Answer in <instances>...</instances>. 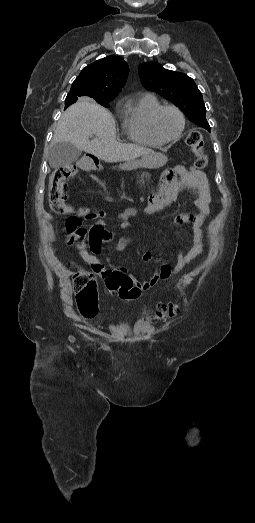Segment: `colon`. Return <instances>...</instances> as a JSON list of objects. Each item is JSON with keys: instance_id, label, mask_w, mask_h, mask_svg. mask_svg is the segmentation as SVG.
Instances as JSON below:
<instances>
[{"instance_id": "1", "label": "colon", "mask_w": 255, "mask_h": 523, "mask_svg": "<svg viewBox=\"0 0 255 523\" xmlns=\"http://www.w3.org/2000/svg\"><path fill=\"white\" fill-rule=\"evenodd\" d=\"M186 144L195 155V167L203 169L208 164L207 156L204 153V138L197 130H191L186 137ZM76 169L72 165L56 168L50 178L49 185V205L53 212L61 215L73 213V208L66 203V182L74 177ZM86 214V211H80ZM71 218L80 221L78 217ZM105 283L112 293H116L120 298L135 300L140 297L141 289L126 274L120 272H110L105 276ZM73 287L76 295V302L81 315L85 318H92L98 311V294L94 275L86 270H80L73 276ZM176 313L175 305H161L157 316L160 318L173 317Z\"/></svg>"}]
</instances>
